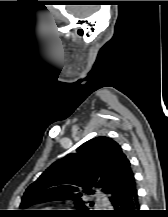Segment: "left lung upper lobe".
I'll return each mask as SVG.
<instances>
[{
    "label": "left lung upper lobe",
    "instance_id": "left-lung-upper-lobe-1",
    "mask_svg": "<svg viewBox=\"0 0 168 217\" xmlns=\"http://www.w3.org/2000/svg\"><path fill=\"white\" fill-rule=\"evenodd\" d=\"M132 175L130 162L118 143L107 137L93 138L43 172L26 189L20 208L47 201L73 200L78 206L74 213L89 217L95 212L87 210L82 201L84 193L94 194L99 188L111 195Z\"/></svg>",
    "mask_w": 168,
    "mask_h": 217
}]
</instances>
